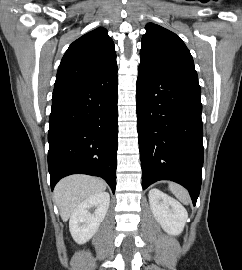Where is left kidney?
Instances as JSON below:
<instances>
[{
	"label": "left kidney",
	"instance_id": "left-kidney-1",
	"mask_svg": "<svg viewBox=\"0 0 242 270\" xmlns=\"http://www.w3.org/2000/svg\"><path fill=\"white\" fill-rule=\"evenodd\" d=\"M148 197L150 209L164 231L171 235H179L188 218L186 209L177 200L158 189H151Z\"/></svg>",
	"mask_w": 242,
	"mask_h": 270
}]
</instances>
